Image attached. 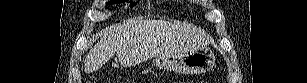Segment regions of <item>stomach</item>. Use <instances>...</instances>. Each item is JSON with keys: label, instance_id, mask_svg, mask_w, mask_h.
<instances>
[{"label": "stomach", "instance_id": "stomach-1", "mask_svg": "<svg viewBox=\"0 0 307 83\" xmlns=\"http://www.w3.org/2000/svg\"><path fill=\"white\" fill-rule=\"evenodd\" d=\"M215 64V55L207 46H194L176 56H159L152 59V65L181 74H201Z\"/></svg>", "mask_w": 307, "mask_h": 83}]
</instances>
